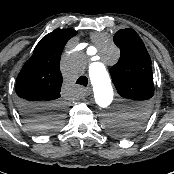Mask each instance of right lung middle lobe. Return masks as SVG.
Segmentation results:
<instances>
[{
    "label": "right lung middle lobe",
    "mask_w": 174,
    "mask_h": 174,
    "mask_svg": "<svg viewBox=\"0 0 174 174\" xmlns=\"http://www.w3.org/2000/svg\"><path fill=\"white\" fill-rule=\"evenodd\" d=\"M61 112L62 107H57L53 111L44 115H37L32 120H27V122L29 126L38 133H50L61 126Z\"/></svg>",
    "instance_id": "dd1d6c3e"
}]
</instances>
